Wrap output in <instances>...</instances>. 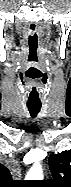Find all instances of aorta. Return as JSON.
<instances>
[{"mask_svg": "<svg viewBox=\"0 0 71 187\" xmlns=\"http://www.w3.org/2000/svg\"><path fill=\"white\" fill-rule=\"evenodd\" d=\"M26 178L31 180H42L43 179L42 167L39 164L33 165L32 168L29 170Z\"/></svg>", "mask_w": 71, "mask_h": 187, "instance_id": "aorta-1", "label": "aorta"}]
</instances>
